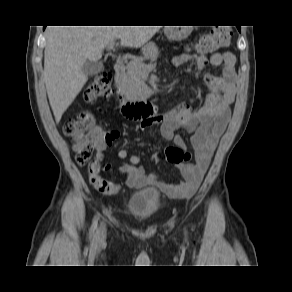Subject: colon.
<instances>
[{"instance_id":"5ec220e1","label":"colon","mask_w":292,"mask_h":292,"mask_svg":"<svg viewBox=\"0 0 292 292\" xmlns=\"http://www.w3.org/2000/svg\"><path fill=\"white\" fill-rule=\"evenodd\" d=\"M232 31L227 26L212 28L205 33L195 44V50L201 54H209L219 48L229 45ZM111 78L108 74L102 73L95 76L84 93L87 102L98 99H108L112 96ZM96 126L91 113L82 112L75 118L69 119L63 126V132L73 144L75 160L79 165H88L89 180L91 185L99 192L113 194L115 184L100 176L99 162L94 158L96 150L94 133ZM190 154L178 146H168L163 152L152 155L154 162L166 161L174 165L185 164Z\"/></svg>"}]
</instances>
